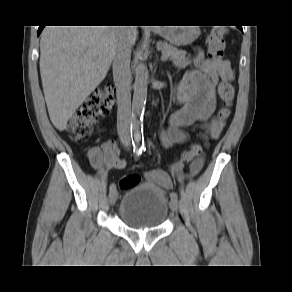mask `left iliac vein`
Masks as SVG:
<instances>
[{
  "mask_svg": "<svg viewBox=\"0 0 292 292\" xmlns=\"http://www.w3.org/2000/svg\"><path fill=\"white\" fill-rule=\"evenodd\" d=\"M170 208L174 212H176L178 210V202H177V200H171L170 201Z\"/></svg>",
  "mask_w": 292,
  "mask_h": 292,
  "instance_id": "4c4485c4",
  "label": "left iliac vein"
}]
</instances>
